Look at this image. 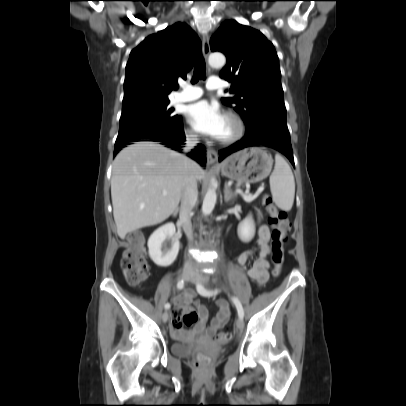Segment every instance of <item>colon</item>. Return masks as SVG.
I'll return each mask as SVG.
<instances>
[{"instance_id":"obj_1","label":"colon","mask_w":406,"mask_h":406,"mask_svg":"<svg viewBox=\"0 0 406 406\" xmlns=\"http://www.w3.org/2000/svg\"><path fill=\"white\" fill-rule=\"evenodd\" d=\"M263 203L268 213V221L273 227L271 254L274 268L272 274L274 277H278L284 260V245L287 242L289 221L286 213L279 210L269 196H264ZM121 268L123 276L129 285H139L146 279L148 267L145 260L144 238L141 234L132 233L129 236L128 245L122 255ZM196 317L195 312L181 313L176 311L172 315L171 324L173 327L181 329L183 324L193 323ZM230 337V332L223 331L217 334L216 339L220 343H225L229 341ZM205 362H207L206 359L200 358L197 364L201 366Z\"/></svg>"}]
</instances>
